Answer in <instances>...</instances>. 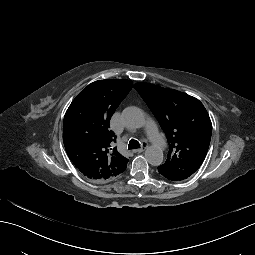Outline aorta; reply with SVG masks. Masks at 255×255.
Returning a JSON list of instances; mask_svg holds the SVG:
<instances>
[{
	"instance_id": "obj_1",
	"label": "aorta",
	"mask_w": 255,
	"mask_h": 255,
	"mask_svg": "<svg viewBox=\"0 0 255 255\" xmlns=\"http://www.w3.org/2000/svg\"><path fill=\"white\" fill-rule=\"evenodd\" d=\"M125 125L129 128H141L145 124L143 112L137 107H127L122 112ZM145 158L152 166H159L163 162V151L157 146H150L145 151Z\"/></svg>"
}]
</instances>
